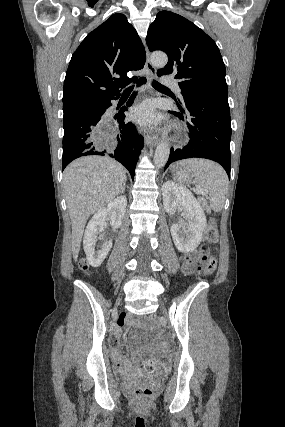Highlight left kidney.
I'll return each instance as SVG.
<instances>
[{"label": "left kidney", "mask_w": 285, "mask_h": 427, "mask_svg": "<svg viewBox=\"0 0 285 427\" xmlns=\"http://www.w3.org/2000/svg\"><path fill=\"white\" fill-rule=\"evenodd\" d=\"M161 190L166 212L171 213L178 208L187 212V222L173 224L170 229L176 248L183 253L193 252L199 246L207 224L200 203L189 189L175 182H165Z\"/></svg>", "instance_id": "left-kidney-1"}]
</instances>
